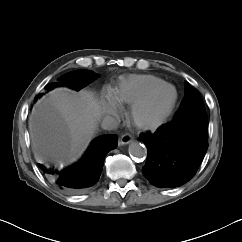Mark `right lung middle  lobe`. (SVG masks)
<instances>
[{
	"instance_id": "1",
	"label": "right lung middle lobe",
	"mask_w": 242,
	"mask_h": 242,
	"mask_svg": "<svg viewBox=\"0 0 242 242\" xmlns=\"http://www.w3.org/2000/svg\"><path fill=\"white\" fill-rule=\"evenodd\" d=\"M97 78V74L87 71V70H80V71H74L67 73L63 75L60 80L61 83H49L45 86L47 90H51L53 88H56L58 86H68L70 88H73L75 90H80L81 88L85 87L92 81H94ZM42 95V94H41ZM39 95L35 97L37 99Z\"/></svg>"
}]
</instances>
